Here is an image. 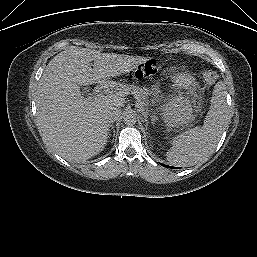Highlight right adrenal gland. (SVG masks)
<instances>
[{
	"label": "right adrenal gland",
	"instance_id": "right-adrenal-gland-1",
	"mask_svg": "<svg viewBox=\"0 0 257 257\" xmlns=\"http://www.w3.org/2000/svg\"><path fill=\"white\" fill-rule=\"evenodd\" d=\"M113 123L114 122H111L110 124H109V135H111L110 133H111V130L113 131V137H115V128H114V125H113ZM113 142V141H112Z\"/></svg>",
	"mask_w": 257,
	"mask_h": 257
}]
</instances>
